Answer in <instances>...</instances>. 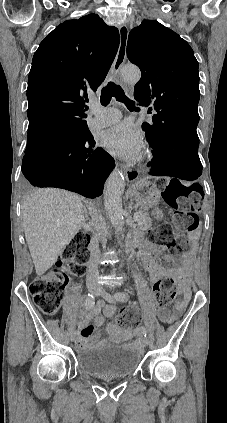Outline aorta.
Listing matches in <instances>:
<instances>
[{"label": "aorta", "instance_id": "obj_1", "mask_svg": "<svg viewBox=\"0 0 227 423\" xmlns=\"http://www.w3.org/2000/svg\"><path fill=\"white\" fill-rule=\"evenodd\" d=\"M141 76L140 70L134 66H125L122 70V77L127 82H137ZM125 180L122 171L115 169L107 179L104 192V205L108 218L117 230L124 226L122 208V195L124 192Z\"/></svg>", "mask_w": 227, "mask_h": 423}]
</instances>
